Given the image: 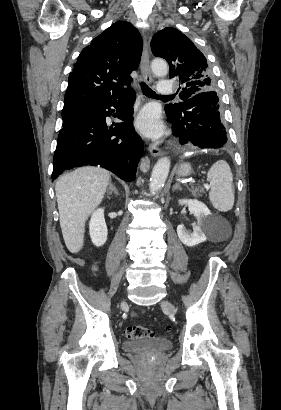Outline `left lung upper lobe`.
<instances>
[{"mask_svg":"<svg viewBox=\"0 0 281 410\" xmlns=\"http://www.w3.org/2000/svg\"><path fill=\"white\" fill-rule=\"evenodd\" d=\"M151 49L156 57L169 63V78H176L183 86L180 92L182 102L166 105V114L182 113L184 101L198 93L215 92V80L206 58L182 32L164 28L153 36Z\"/></svg>","mask_w":281,"mask_h":410,"instance_id":"obj_1","label":"left lung upper lobe"}]
</instances>
